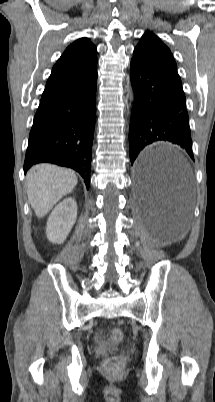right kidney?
<instances>
[{
  "instance_id": "obj_1",
  "label": "right kidney",
  "mask_w": 215,
  "mask_h": 402,
  "mask_svg": "<svg viewBox=\"0 0 215 402\" xmlns=\"http://www.w3.org/2000/svg\"><path fill=\"white\" fill-rule=\"evenodd\" d=\"M77 218V204L73 198H66L59 203L50 214L46 235L52 243H63L71 231Z\"/></svg>"
}]
</instances>
